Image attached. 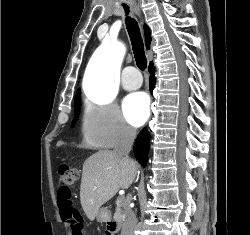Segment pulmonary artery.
Segmentation results:
<instances>
[{"instance_id":"obj_1","label":"pulmonary artery","mask_w":250,"mask_h":235,"mask_svg":"<svg viewBox=\"0 0 250 235\" xmlns=\"http://www.w3.org/2000/svg\"><path fill=\"white\" fill-rule=\"evenodd\" d=\"M121 84L126 90H135L141 86L142 78L133 66H128L123 70Z\"/></svg>"}]
</instances>
